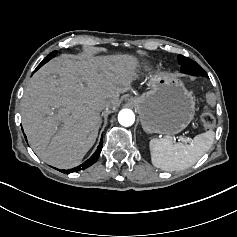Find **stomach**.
Here are the masks:
<instances>
[{
  "label": "stomach",
  "mask_w": 237,
  "mask_h": 237,
  "mask_svg": "<svg viewBox=\"0 0 237 237\" xmlns=\"http://www.w3.org/2000/svg\"><path fill=\"white\" fill-rule=\"evenodd\" d=\"M150 90L130 99L147 133L173 135L185 129L195 114V97L174 75L157 73Z\"/></svg>",
  "instance_id": "0dacf381"
}]
</instances>
